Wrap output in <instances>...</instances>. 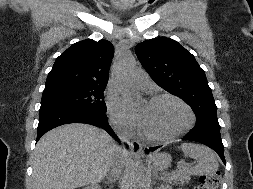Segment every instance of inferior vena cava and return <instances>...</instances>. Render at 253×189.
Instances as JSON below:
<instances>
[{"instance_id":"inferior-vena-cava-1","label":"inferior vena cava","mask_w":253,"mask_h":189,"mask_svg":"<svg viewBox=\"0 0 253 189\" xmlns=\"http://www.w3.org/2000/svg\"><path fill=\"white\" fill-rule=\"evenodd\" d=\"M115 129L118 136L123 141H128L129 136L127 133L123 132L121 129L117 127H115ZM113 154L115 160L109 169V179L112 182L119 179L122 174L124 164L126 163L127 151L125 149H115Z\"/></svg>"}]
</instances>
